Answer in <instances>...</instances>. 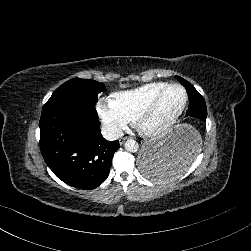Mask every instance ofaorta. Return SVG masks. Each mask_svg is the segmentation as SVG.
<instances>
[{
	"label": "aorta",
	"mask_w": 251,
	"mask_h": 251,
	"mask_svg": "<svg viewBox=\"0 0 251 251\" xmlns=\"http://www.w3.org/2000/svg\"><path fill=\"white\" fill-rule=\"evenodd\" d=\"M124 148L128 152H136L138 150V143L133 139H127L124 142Z\"/></svg>",
	"instance_id": "1"
}]
</instances>
